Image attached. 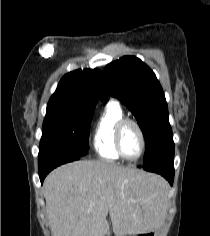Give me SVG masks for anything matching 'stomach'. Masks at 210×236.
Instances as JSON below:
<instances>
[{"mask_svg":"<svg viewBox=\"0 0 210 236\" xmlns=\"http://www.w3.org/2000/svg\"><path fill=\"white\" fill-rule=\"evenodd\" d=\"M157 234H158V229L154 228L149 231H145V232L137 233V234H131L128 236H158Z\"/></svg>","mask_w":210,"mask_h":236,"instance_id":"stomach-1","label":"stomach"}]
</instances>
